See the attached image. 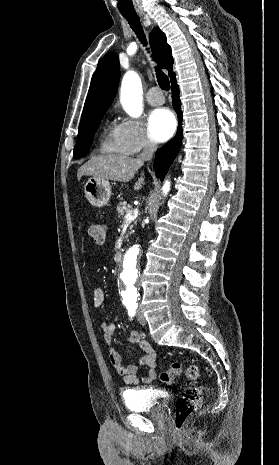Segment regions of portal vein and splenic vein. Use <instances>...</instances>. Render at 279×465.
<instances>
[{
  "mask_svg": "<svg viewBox=\"0 0 279 465\" xmlns=\"http://www.w3.org/2000/svg\"><path fill=\"white\" fill-rule=\"evenodd\" d=\"M137 216H138V209L136 208V209L130 211L129 213H127V214L125 215L124 220H125L126 222H131V221H133L134 219H136Z\"/></svg>",
  "mask_w": 279,
  "mask_h": 465,
  "instance_id": "obj_1",
  "label": "portal vein and splenic vein"
}]
</instances>
